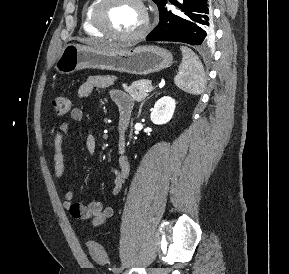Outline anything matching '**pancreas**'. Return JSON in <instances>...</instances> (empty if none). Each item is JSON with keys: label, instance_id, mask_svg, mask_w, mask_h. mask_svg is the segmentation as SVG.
Wrapping results in <instances>:
<instances>
[{"label": "pancreas", "instance_id": "cf45deb5", "mask_svg": "<svg viewBox=\"0 0 289 274\" xmlns=\"http://www.w3.org/2000/svg\"><path fill=\"white\" fill-rule=\"evenodd\" d=\"M151 86V81L142 79L133 82L130 86L123 85V89L133 98L135 101H142L148 96L146 91Z\"/></svg>", "mask_w": 289, "mask_h": 274}]
</instances>
